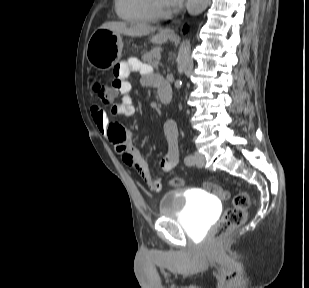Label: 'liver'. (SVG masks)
<instances>
[{"instance_id": "obj_1", "label": "liver", "mask_w": 309, "mask_h": 288, "mask_svg": "<svg viewBox=\"0 0 309 288\" xmlns=\"http://www.w3.org/2000/svg\"><path fill=\"white\" fill-rule=\"evenodd\" d=\"M100 28L109 29L114 33L124 34L131 37L146 36L156 30L155 27L149 26L147 24H128L118 21L106 22Z\"/></svg>"}]
</instances>
